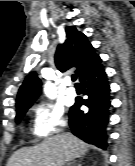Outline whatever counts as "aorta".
<instances>
[{"instance_id":"1","label":"aorta","mask_w":135,"mask_h":166,"mask_svg":"<svg viewBox=\"0 0 135 166\" xmlns=\"http://www.w3.org/2000/svg\"><path fill=\"white\" fill-rule=\"evenodd\" d=\"M44 93L48 98L54 99L56 97V89L54 85L51 84L50 82H47L44 85Z\"/></svg>"}]
</instances>
